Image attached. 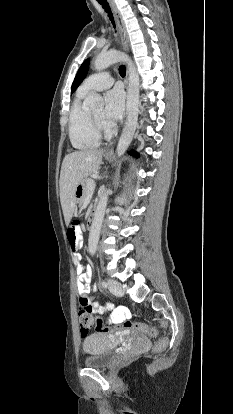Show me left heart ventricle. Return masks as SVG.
I'll use <instances>...</instances> for the list:
<instances>
[{
    "instance_id": "b2bd125f",
    "label": "left heart ventricle",
    "mask_w": 233,
    "mask_h": 414,
    "mask_svg": "<svg viewBox=\"0 0 233 414\" xmlns=\"http://www.w3.org/2000/svg\"><path fill=\"white\" fill-rule=\"evenodd\" d=\"M92 114L96 117V119L103 125L108 126L109 124L104 119V110L103 108H98L92 111Z\"/></svg>"
}]
</instances>
